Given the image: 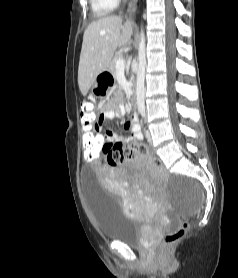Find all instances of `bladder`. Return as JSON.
<instances>
[{"mask_svg": "<svg viewBox=\"0 0 238 278\" xmlns=\"http://www.w3.org/2000/svg\"><path fill=\"white\" fill-rule=\"evenodd\" d=\"M82 180H94L93 169H82ZM98 181H84L89 209L99 233L106 239L142 246L145 240L144 221L125 214L119 199Z\"/></svg>", "mask_w": 238, "mask_h": 278, "instance_id": "bladder-1", "label": "bladder"}]
</instances>
